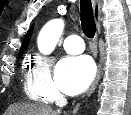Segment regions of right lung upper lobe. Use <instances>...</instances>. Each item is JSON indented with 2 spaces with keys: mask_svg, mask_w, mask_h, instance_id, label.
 <instances>
[{
  "mask_svg": "<svg viewBox=\"0 0 131 115\" xmlns=\"http://www.w3.org/2000/svg\"><path fill=\"white\" fill-rule=\"evenodd\" d=\"M32 29H33V28H30L29 31L27 32V34H26V36H25V39H24V41H23V44H22V46H21L19 55L22 54V53L26 50V48H27V46H28V44H29V40H30L31 35H32Z\"/></svg>",
  "mask_w": 131,
  "mask_h": 115,
  "instance_id": "cb5924a9",
  "label": "right lung upper lobe"
}]
</instances>
